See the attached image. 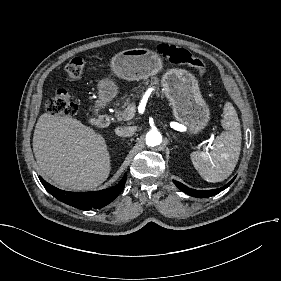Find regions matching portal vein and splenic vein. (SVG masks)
I'll list each match as a JSON object with an SVG mask.
<instances>
[{"label": "portal vein and splenic vein", "mask_w": 281, "mask_h": 281, "mask_svg": "<svg viewBox=\"0 0 281 281\" xmlns=\"http://www.w3.org/2000/svg\"><path fill=\"white\" fill-rule=\"evenodd\" d=\"M148 89V88H147ZM165 93V92H164ZM163 93V94H164ZM137 104V100L136 99H133L132 100V104L130 105V108L128 109V111L126 112L125 114V117L123 118V123L124 124H129L130 123V120L132 119V117L135 115L136 113V107L135 105ZM203 141L204 140H201L199 142V146L200 147H203Z\"/></svg>", "instance_id": "portal-vein-and-splenic-vein-1"}]
</instances>
